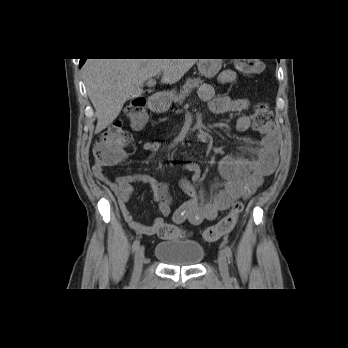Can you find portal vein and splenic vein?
Returning a JSON list of instances; mask_svg holds the SVG:
<instances>
[{
	"mask_svg": "<svg viewBox=\"0 0 348 348\" xmlns=\"http://www.w3.org/2000/svg\"><path fill=\"white\" fill-rule=\"evenodd\" d=\"M155 83H156L155 80L151 78V79H149L147 81V86L148 87H153L155 85Z\"/></svg>",
	"mask_w": 348,
	"mask_h": 348,
	"instance_id": "portal-vein-and-splenic-vein-1",
	"label": "portal vein and splenic vein"
}]
</instances>
